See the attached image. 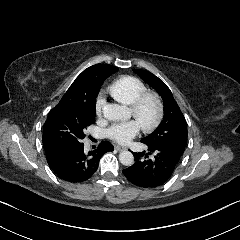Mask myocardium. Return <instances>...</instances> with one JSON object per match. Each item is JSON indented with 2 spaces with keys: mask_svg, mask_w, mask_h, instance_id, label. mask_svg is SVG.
Returning a JSON list of instances; mask_svg holds the SVG:
<instances>
[{
  "mask_svg": "<svg viewBox=\"0 0 240 240\" xmlns=\"http://www.w3.org/2000/svg\"><path fill=\"white\" fill-rule=\"evenodd\" d=\"M148 100L152 101L155 104L156 115H155L153 121L150 122L149 124L140 125L141 129L144 132H152L155 129H157L160 126V124L163 120V117H164V104H163L161 97L157 93L150 92V91L143 92L135 99L133 104L130 106V111H131L132 116L136 120H138L140 110H141L142 106L144 105V103Z\"/></svg>",
  "mask_w": 240,
  "mask_h": 240,
  "instance_id": "obj_1",
  "label": "myocardium"
}]
</instances>
